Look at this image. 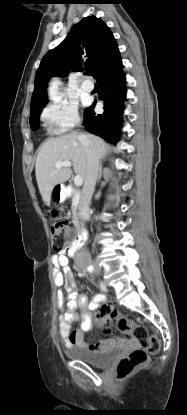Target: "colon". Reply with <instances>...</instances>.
<instances>
[{
  "mask_svg": "<svg viewBox=\"0 0 187 415\" xmlns=\"http://www.w3.org/2000/svg\"><path fill=\"white\" fill-rule=\"evenodd\" d=\"M53 249L56 252H70L77 242V233L74 227L64 219H55L51 223ZM96 318L104 327L106 333L119 332L137 342L140 347L134 348L117 364V376L126 378L140 366L147 363L150 354L160 350V341L150 335L147 328L123 316L116 308L102 305L96 308Z\"/></svg>",
  "mask_w": 187,
  "mask_h": 415,
  "instance_id": "colon-1",
  "label": "colon"
}]
</instances>
